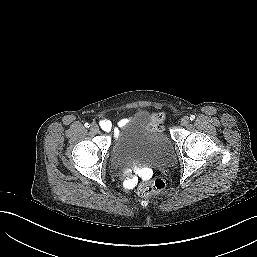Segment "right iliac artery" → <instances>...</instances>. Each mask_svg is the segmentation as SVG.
<instances>
[{
	"label": "right iliac artery",
	"mask_w": 257,
	"mask_h": 257,
	"mask_svg": "<svg viewBox=\"0 0 257 257\" xmlns=\"http://www.w3.org/2000/svg\"><path fill=\"white\" fill-rule=\"evenodd\" d=\"M84 126H85L86 128H89V127H90L89 123H85Z\"/></svg>",
	"instance_id": "obj_1"
}]
</instances>
